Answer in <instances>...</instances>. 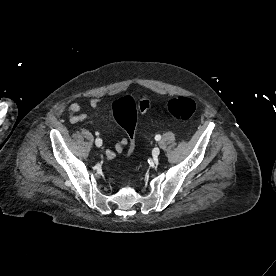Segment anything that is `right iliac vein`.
<instances>
[{"mask_svg":"<svg viewBox=\"0 0 276 276\" xmlns=\"http://www.w3.org/2000/svg\"><path fill=\"white\" fill-rule=\"evenodd\" d=\"M100 142H101V139H100V138H97V139L95 140V144H96L97 147H100V146H101Z\"/></svg>","mask_w":276,"mask_h":276,"instance_id":"right-iliac-vein-1","label":"right iliac vein"}]
</instances>
